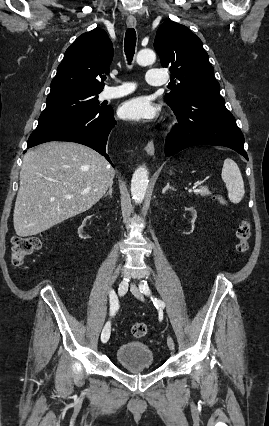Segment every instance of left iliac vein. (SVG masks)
Returning a JSON list of instances; mask_svg holds the SVG:
<instances>
[{"mask_svg": "<svg viewBox=\"0 0 269 426\" xmlns=\"http://www.w3.org/2000/svg\"><path fill=\"white\" fill-rule=\"evenodd\" d=\"M130 290H131V292L133 293V295H134L136 298H138L139 300H143V299H144V298H143V295L141 294L140 290L138 289V287H137L135 284H131V286H130ZM167 345H168V347H169V349H170L171 351H173V350H174V348H175V344H174V341H173V339H172V337H171V336H168V337H167Z\"/></svg>", "mask_w": 269, "mask_h": 426, "instance_id": "1", "label": "left iliac vein"}]
</instances>
